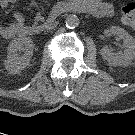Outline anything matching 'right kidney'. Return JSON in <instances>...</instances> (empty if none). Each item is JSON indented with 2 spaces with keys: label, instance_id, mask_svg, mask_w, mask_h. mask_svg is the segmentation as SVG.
<instances>
[{
  "label": "right kidney",
  "instance_id": "right-kidney-1",
  "mask_svg": "<svg viewBox=\"0 0 135 135\" xmlns=\"http://www.w3.org/2000/svg\"><path fill=\"white\" fill-rule=\"evenodd\" d=\"M33 41L30 37L19 36L14 38L7 47V59L4 62L10 74H19L30 65L33 55ZM23 51V55L18 52Z\"/></svg>",
  "mask_w": 135,
  "mask_h": 135
}]
</instances>
